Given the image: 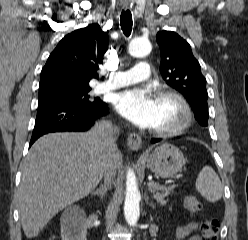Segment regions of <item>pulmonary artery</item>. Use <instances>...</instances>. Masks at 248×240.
Segmentation results:
<instances>
[{"instance_id": "obj_1", "label": "pulmonary artery", "mask_w": 248, "mask_h": 240, "mask_svg": "<svg viewBox=\"0 0 248 240\" xmlns=\"http://www.w3.org/2000/svg\"><path fill=\"white\" fill-rule=\"evenodd\" d=\"M150 76V66L146 61L138 62L132 69L112 73L107 81L99 83L94 92L101 94L109 90L144 81Z\"/></svg>"}]
</instances>
